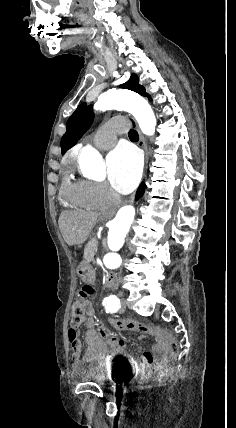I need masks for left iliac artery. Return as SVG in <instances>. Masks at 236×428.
I'll return each instance as SVG.
<instances>
[{
	"mask_svg": "<svg viewBox=\"0 0 236 428\" xmlns=\"http://www.w3.org/2000/svg\"><path fill=\"white\" fill-rule=\"evenodd\" d=\"M103 306H105L106 313L116 311L121 307L120 300L115 295L104 298Z\"/></svg>",
	"mask_w": 236,
	"mask_h": 428,
	"instance_id": "left-iliac-artery-1",
	"label": "left iliac artery"
}]
</instances>
